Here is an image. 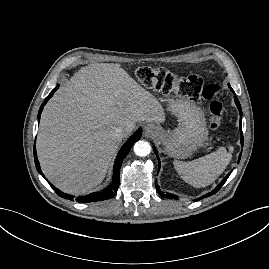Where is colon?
<instances>
[{
  "mask_svg": "<svg viewBox=\"0 0 269 269\" xmlns=\"http://www.w3.org/2000/svg\"><path fill=\"white\" fill-rule=\"evenodd\" d=\"M136 75L141 84L150 89L176 92L192 100L200 98L210 101V127L217 129L225 118V109L220 101V87L213 81H204L197 75L177 77L163 68L140 67Z\"/></svg>",
  "mask_w": 269,
  "mask_h": 269,
  "instance_id": "1",
  "label": "colon"
}]
</instances>
